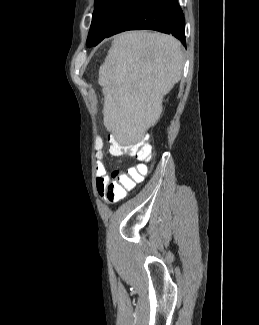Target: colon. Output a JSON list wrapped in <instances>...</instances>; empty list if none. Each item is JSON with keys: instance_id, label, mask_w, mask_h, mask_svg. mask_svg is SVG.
<instances>
[{"instance_id": "5ec220e1", "label": "colon", "mask_w": 259, "mask_h": 325, "mask_svg": "<svg viewBox=\"0 0 259 325\" xmlns=\"http://www.w3.org/2000/svg\"><path fill=\"white\" fill-rule=\"evenodd\" d=\"M101 147L102 142L98 139L96 141V148L100 150ZM110 150L113 155L127 154L144 162L149 161L152 157L150 139H143L128 144H121L113 139L111 141ZM146 172L147 167L144 164H140L137 167H131L126 171L114 170L110 176L100 184L99 192L102 197L109 202L121 200L143 180Z\"/></svg>"}]
</instances>
